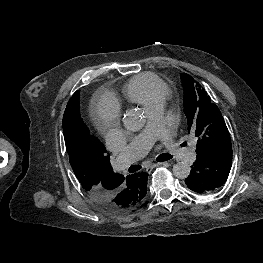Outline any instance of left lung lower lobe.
<instances>
[{
  "instance_id": "0a47b994",
  "label": "left lung lower lobe",
  "mask_w": 263,
  "mask_h": 263,
  "mask_svg": "<svg viewBox=\"0 0 263 263\" xmlns=\"http://www.w3.org/2000/svg\"><path fill=\"white\" fill-rule=\"evenodd\" d=\"M231 165V146H222L213 151L197 155L185 183L190 190L196 193H212L225 184Z\"/></svg>"
}]
</instances>
